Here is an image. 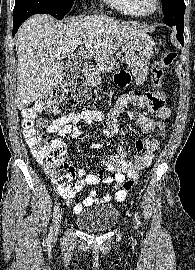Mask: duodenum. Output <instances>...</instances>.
I'll list each match as a JSON object with an SVG mask.
<instances>
[{"label":"duodenum","instance_id":"1","mask_svg":"<svg viewBox=\"0 0 195 270\" xmlns=\"http://www.w3.org/2000/svg\"><path fill=\"white\" fill-rule=\"evenodd\" d=\"M81 71H82V74L88 79H91L94 77L93 69H91L90 66L87 64L82 65Z\"/></svg>","mask_w":195,"mask_h":270}]
</instances>
